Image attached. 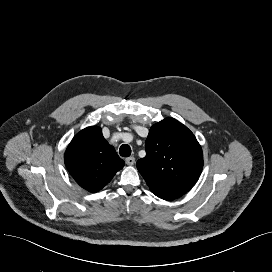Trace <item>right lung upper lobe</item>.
<instances>
[{"mask_svg":"<svg viewBox=\"0 0 272 272\" xmlns=\"http://www.w3.org/2000/svg\"><path fill=\"white\" fill-rule=\"evenodd\" d=\"M64 162L75 181L92 193L101 190L125 165L97 126L87 127L74 136Z\"/></svg>","mask_w":272,"mask_h":272,"instance_id":"cb5924a9","label":"right lung upper lobe"}]
</instances>
